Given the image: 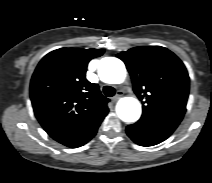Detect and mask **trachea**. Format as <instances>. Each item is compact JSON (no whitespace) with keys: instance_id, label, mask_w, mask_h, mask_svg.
<instances>
[{"instance_id":"1","label":"trachea","mask_w":212,"mask_h":183,"mask_svg":"<svg viewBox=\"0 0 212 183\" xmlns=\"http://www.w3.org/2000/svg\"><path fill=\"white\" fill-rule=\"evenodd\" d=\"M103 92L107 97H112L115 95V89L111 86H104L103 87Z\"/></svg>"}]
</instances>
